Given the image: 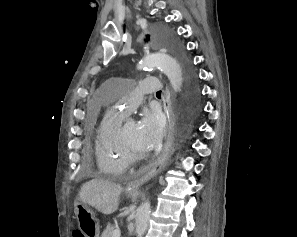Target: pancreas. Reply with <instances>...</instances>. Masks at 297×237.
I'll return each instance as SVG.
<instances>
[{"mask_svg":"<svg viewBox=\"0 0 297 237\" xmlns=\"http://www.w3.org/2000/svg\"><path fill=\"white\" fill-rule=\"evenodd\" d=\"M114 231V226L111 224H108L105 230L102 232L101 237H112Z\"/></svg>","mask_w":297,"mask_h":237,"instance_id":"pancreas-1","label":"pancreas"}]
</instances>
